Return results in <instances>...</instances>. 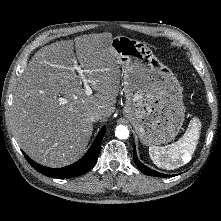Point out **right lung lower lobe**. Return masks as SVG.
<instances>
[{
    "label": "right lung lower lobe",
    "instance_id": "98d812e1",
    "mask_svg": "<svg viewBox=\"0 0 221 221\" xmlns=\"http://www.w3.org/2000/svg\"><path fill=\"white\" fill-rule=\"evenodd\" d=\"M105 126L100 130L93 144L87 153L76 163L62 168H49L34 162L25 153V158L29 164L38 172L52 178H71L87 173L96 164L101 147V141L105 134Z\"/></svg>",
    "mask_w": 221,
    "mask_h": 221
}]
</instances>
